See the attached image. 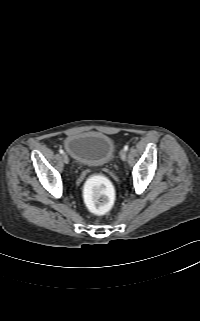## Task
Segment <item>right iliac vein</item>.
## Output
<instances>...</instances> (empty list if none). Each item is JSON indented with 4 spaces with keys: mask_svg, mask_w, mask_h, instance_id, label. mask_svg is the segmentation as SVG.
<instances>
[{
    "mask_svg": "<svg viewBox=\"0 0 200 321\" xmlns=\"http://www.w3.org/2000/svg\"><path fill=\"white\" fill-rule=\"evenodd\" d=\"M62 157H63V161H64V163H68L69 162V158H68V156L64 153L63 155H62Z\"/></svg>",
    "mask_w": 200,
    "mask_h": 321,
    "instance_id": "right-iliac-vein-1",
    "label": "right iliac vein"
}]
</instances>
